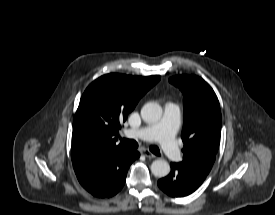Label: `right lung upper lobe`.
I'll return each mask as SVG.
<instances>
[{
	"instance_id": "1",
	"label": "right lung upper lobe",
	"mask_w": 275,
	"mask_h": 215,
	"mask_svg": "<svg viewBox=\"0 0 275 215\" xmlns=\"http://www.w3.org/2000/svg\"><path fill=\"white\" fill-rule=\"evenodd\" d=\"M159 80L158 75L138 77L111 73L99 77L87 87L74 118V168L97 153L125 148L116 144L121 123Z\"/></svg>"
}]
</instances>
